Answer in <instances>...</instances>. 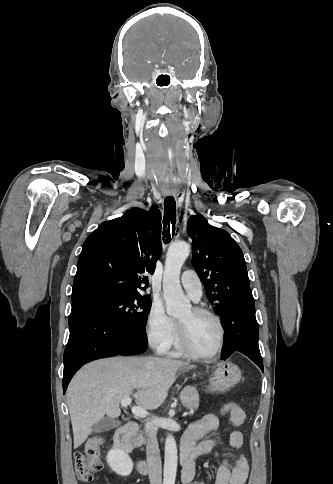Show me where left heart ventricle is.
I'll return each mask as SVG.
<instances>
[{"label":"left heart ventricle","mask_w":333,"mask_h":484,"mask_svg":"<svg viewBox=\"0 0 333 484\" xmlns=\"http://www.w3.org/2000/svg\"><path fill=\"white\" fill-rule=\"evenodd\" d=\"M178 321L186 326L191 343L199 353L209 354L215 349L219 329L211 317L196 315L191 308L183 313Z\"/></svg>","instance_id":"obj_1"}]
</instances>
